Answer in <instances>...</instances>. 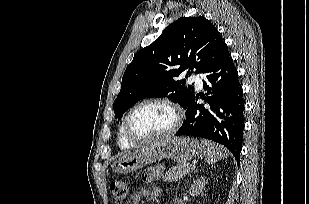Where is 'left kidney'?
<instances>
[{
	"mask_svg": "<svg viewBox=\"0 0 309 204\" xmlns=\"http://www.w3.org/2000/svg\"><path fill=\"white\" fill-rule=\"evenodd\" d=\"M205 185L206 181L204 177H200L199 179L195 180L189 190L190 195L198 196L199 194H202Z\"/></svg>",
	"mask_w": 309,
	"mask_h": 204,
	"instance_id": "obj_1",
	"label": "left kidney"
}]
</instances>
